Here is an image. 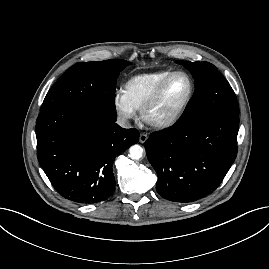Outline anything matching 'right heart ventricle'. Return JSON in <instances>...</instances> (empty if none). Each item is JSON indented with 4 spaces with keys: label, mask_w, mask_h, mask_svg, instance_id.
Returning a JSON list of instances; mask_svg holds the SVG:
<instances>
[{
    "label": "right heart ventricle",
    "mask_w": 269,
    "mask_h": 269,
    "mask_svg": "<svg viewBox=\"0 0 269 269\" xmlns=\"http://www.w3.org/2000/svg\"><path fill=\"white\" fill-rule=\"evenodd\" d=\"M170 73V70H161L133 76L125 83L123 93L135 110H141L159 83Z\"/></svg>",
    "instance_id": "e07e8e85"
}]
</instances>
